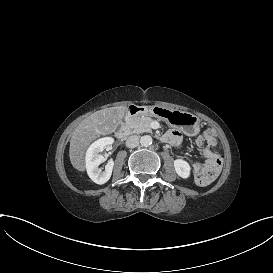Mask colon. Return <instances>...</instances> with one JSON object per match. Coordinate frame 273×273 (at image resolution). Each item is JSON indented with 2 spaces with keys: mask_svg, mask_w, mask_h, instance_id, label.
<instances>
[{
  "mask_svg": "<svg viewBox=\"0 0 273 273\" xmlns=\"http://www.w3.org/2000/svg\"><path fill=\"white\" fill-rule=\"evenodd\" d=\"M221 158L218 155H212L208 158L207 164L201 169V174L204 177L202 185H206L210 179H214L221 166Z\"/></svg>",
  "mask_w": 273,
  "mask_h": 273,
  "instance_id": "5ec220e1",
  "label": "colon"
}]
</instances>
